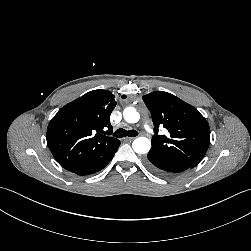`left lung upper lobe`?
Listing matches in <instances>:
<instances>
[{
	"label": "left lung upper lobe",
	"mask_w": 251,
	"mask_h": 251,
	"mask_svg": "<svg viewBox=\"0 0 251 251\" xmlns=\"http://www.w3.org/2000/svg\"><path fill=\"white\" fill-rule=\"evenodd\" d=\"M155 126L150 152H155L195 167L203 159L210 143V128L196 108L178 97L155 91L142 97ZM159 126L169 132L158 135Z\"/></svg>",
	"instance_id": "5c2ea615"
}]
</instances>
